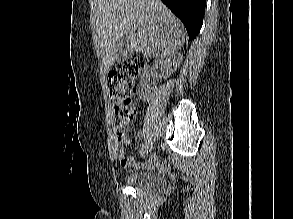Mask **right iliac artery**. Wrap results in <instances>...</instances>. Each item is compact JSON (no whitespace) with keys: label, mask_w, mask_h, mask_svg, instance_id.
<instances>
[{"label":"right iliac artery","mask_w":293,"mask_h":219,"mask_svg":"<svg viewBox=\"0 0 293 219\" xmlns=\"http://www.w3.org/2000/svg\"><path fill=\"white\" fill-rule=\"evenodd\" d=\"M149 142V138L147 137L145 140H144V143L142 145V148Z\"/></svg>","instance_id":"right-iliac-artery-1"}]
</instances>
